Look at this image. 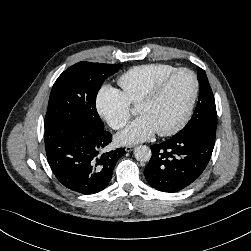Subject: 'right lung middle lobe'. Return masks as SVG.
<instances>
[{
	"label": "right lung middle lobe",
	"instance_id": "right-lung-middle-lobe-1",
	"mask_svg": "<svg viewBox=\"0 0 251 251\" xmlns=\"http://www.w3.org/2000/svg\"><path fill=\"white\" fill-rule=\"evenodd\" d=\"M120 67L116 64L79 62L65 70L52 87L45 128L67 120H78L104 130L96 110V96L105 79Z\"/></svg>",
	"mask_w": 251,
	"mask_h": 251
}]
</instances>
